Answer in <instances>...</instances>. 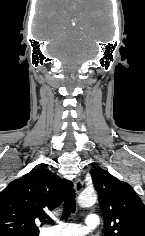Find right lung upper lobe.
Here are the masks:
<instances>
[{
    "mask_svg": "<svg viewBox=\"0 0 145 236\" xmlns=\"http://www.w3.org/2000/svg\"><path fill=\"white\" fill-rule=\"evenodd\" d=\"M72 186L48 169L12 181L0 194V236H38L35 221L52 222L48 213Z\"/></svg>",
    "mask_w": 145,
    "mask_h": 236,
    "instance_id": "cb5924a9",
    "label": "right lung upper lobe"
}]
</instances>
